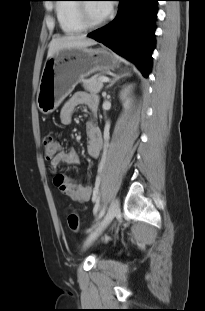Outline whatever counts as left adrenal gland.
<instances>
[{
    "label": "left adrenal gland",
    "instance_id": "left-adrenal-gland-1",
    "mask_svg": "<svg viewBox=\"0 0 205 311\" xmlns=\"http://www.w3.org/2000/svg\"><path fill=\"white\" fill-rule=\"evenodd\" d=\"M130 75H131V73L128 71L118 73V75L112 79V81L109 83V85L106 87V89L111 88L119 79H121L125 76H130Z\"/></svg>",
    "mask_w": 205,
    "mask_h": 311
}]
</instances>
